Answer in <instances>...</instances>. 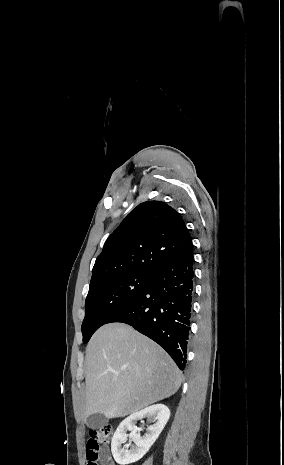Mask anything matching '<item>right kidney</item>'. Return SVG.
<instances>
[{
	"label": "right kidney",
	"instance_id": "obj_1",
	"mask_svg": "<svg viewBox=\"0 0 284 465\" xmlns=\"http://www.w3.org/2000/svg\"><path fill=\"white\" fill-rule=\"evenodd\" d=\"M145 417L153 425L147 427V433L143 437H141L140 433L132 435L130 441H133L135 445H131L130 449H122V443L127 441V431H136L137 421H141ZM169 417L170 411L166 405H151V407H146V409H142L139 413H133V415L124 419L117 431H115L111 443V451L116 463L118 465H130V463H136V461L142 459L156 439H158L161 431H163L166 423H168Z\"/></svg>",
	"mask_w": 284,
	"mask_h": 465
}]
</instances>
